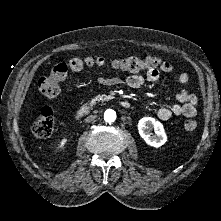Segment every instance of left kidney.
<instances>
[{"instance_id": "5707ae66", "label": "left kidney", "mask_w": 221, "mask_h": 221, "mask_svg": "<svg viewBox=\"0 0 221 221\" xmlns=\"http://www.w3.org/2000/svg\"><path fill=\"white\" fill-rule=\"evenodd\" d=\"M154 129L155 135L150 133ZM138 131L144 141L155 148L161 147L167 141V136L161 122L152 117H143L138 122Z\"/></svg>"}]
</instances>
